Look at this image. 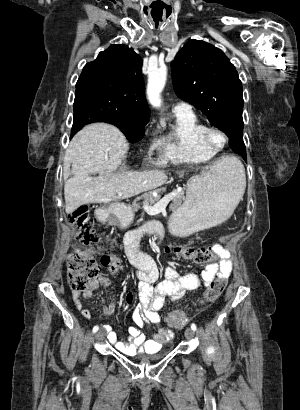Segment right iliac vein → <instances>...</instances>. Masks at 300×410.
<instances>
[{"instance_id": "obj_1", "label": "right iliac vein", "mask_w": 300, "mask_h": 410, "mask_svg": "<svg viewBox=\"0 0 300 410\" xmlns=\"http://www.w3.org/2000/svg\"><path fill=\"white\" fill-rule=\"evenodd\" d=\"M103 336H104V331L103 330H100L95 334L96 340H101L103 338Z\"/></svg>"}]
</instances>
